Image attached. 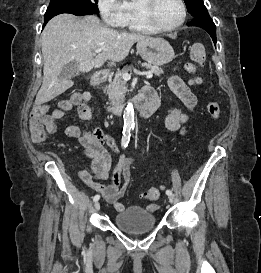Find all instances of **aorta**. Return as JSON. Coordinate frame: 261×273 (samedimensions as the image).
<instances>
[{
	"label": "aorta",
	"instance_id": "obj_1",
	"mask_svg": "<svg viewBox=\"0 0 261 273\" xmlns=\"http://www.w3.org/2000/svg\"><path fill=\"white\" fill-rule=\"evenodd\" d=\"M124 127L127 129H134L135 126V112L132 103H128L124 111Z\"/></svg>",
	"mask_w": 261,
	"mask_h": 273
}]
</instances>
